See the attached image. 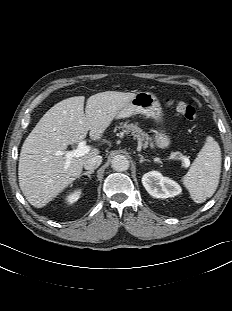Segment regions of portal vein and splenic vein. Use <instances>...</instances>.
I'll return each mask as SVG.
<instances>
[{"label": "portal vein and splenic vein", "instance_id": "18ae733b", "mask_svg": "<svg viewBox=\"0 0 232 311\" xmlns=\"http://www.w3.org/2000/svg\"><path fill=\"white\" fill-rule=\"evenodd\" d=\"M89 151H90V147L86 145V141H81L79 142L76 149L71 150V151L59 152L60 155H64L66 157V163H65L64 168L67 169L69 167V165L71 164V160L73 158L82 157L88 154ZM180 159L183 160L185 163H189V160L184 156H180Z\"/></svg>", "mask_w": 232, "mask_h": 311}]
</instances>
